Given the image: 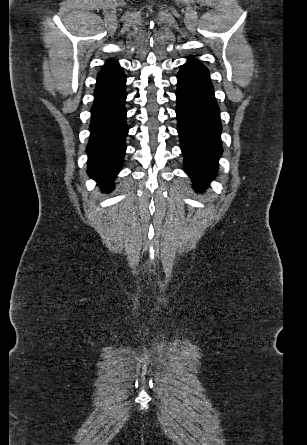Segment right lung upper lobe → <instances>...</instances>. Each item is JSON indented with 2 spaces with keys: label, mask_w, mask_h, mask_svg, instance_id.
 <instances>
[{
  "label": "right lung upper lobe",
  "mask_w": 307,
  "mask_h": 445,
  "mask_svg": "<svg viewBox=\"0 0 307 445\" xmlns=\"http://www.w3.org/2000/svg\"><path fill=\"white\" fill-rule=\"evenodd\" d=\"M117 63H115V61L114 60H108L107 62H106V64L103 66V69L102 70H104V69H108V68H110V67H113L114 65H116Z\"/></svg>",
  "instance_id": "obj_1"
}]
</instances>
